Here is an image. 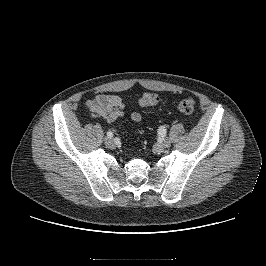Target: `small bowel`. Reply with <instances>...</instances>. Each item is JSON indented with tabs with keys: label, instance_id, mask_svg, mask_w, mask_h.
I'll use <instances>...</instances> for the list:
<instances>
[{
	"label": "small bowel",
	"instance_id": "obj_1",
	"mask_svg": "<svg viewBox=\"0 0 266 266\" xmlns=\"http://www.w3.org/2000/svg\"><path fill=\"white\" fill-rule=\"evenodd\" d=\"M88 109L103 117L109 122H113L124 116L125 104L122 98L115 94H99L87 103ZM132 121L139 122L142 116L139 112H132Z\"/></svg>",
	"mask_w": 266,
	"mask_h": 266
}]
</instances>
